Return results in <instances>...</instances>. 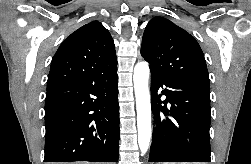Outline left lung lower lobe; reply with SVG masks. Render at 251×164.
Returning a JSON list of instances; mask_svg holds the SVG:
<instances>
[{
    "mask_svg": "<svg viewBox=\"0 0 251 164\" xmlns=\"http://www.w3.org/2000/svg\"><path fill=\"white\" fill-rule=\"evenodd\" d=\"M151 104L156 127L149 162H211L209 89L151 70Z\"/></svg>",
    "mask_w": 251,
    "mask_h": 164,
    "instance_id": "0a47b994",
    "label": "left lung lower lobe"
}]
</instances>
